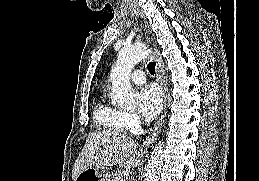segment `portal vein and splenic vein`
<instances>
[{
    "label": "portal vein and splenic vein",
    "instance_id": "obj_1",
    "mask_svg": "<svg viewBox=\"0 0 259 181\" xmlns=\"http://www.w3.org/2000/svg\"><path fill=\"white\" fill-rule=\"evenodd\" d=\"M121 181H126L125 179H122Z\"/></svg>",
    "mask_w": 259,
    "mask_h": 181
}]
</instances>
